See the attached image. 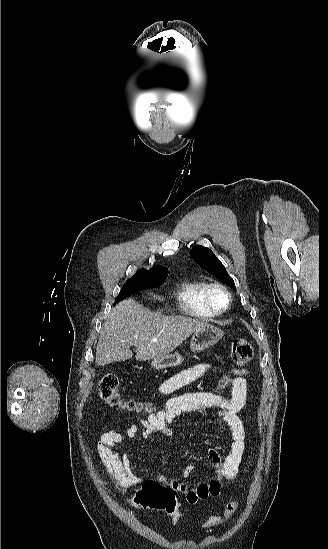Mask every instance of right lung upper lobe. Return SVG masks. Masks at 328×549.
Instances as JSON below:
<instances>
[{"instance_id": "right-lung-upper-lobe-1", "label": "right lung upper lobe", "mask_w": 328, "mask_h": 549, "mask_svg": "<svg viewBox=\"0 0 328 549\" xmlns=\"http://www.w3.org/2000/svg\"><path fill=\"white\" fill-rule=\"evenodd\" d=\"M146 269H142L141 271H144ZM150 270H153V271H156V272H160V273H168V270L165 268V267H162V266H158V267H153L151 268ZM141 271H138V272H141ZM137 272V273H138Z\"/></svg>"}]
</instances>
